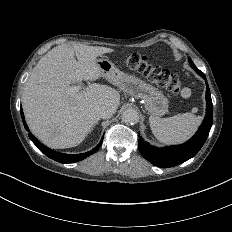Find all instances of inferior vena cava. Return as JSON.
<instances>
[{"label": "inferior vena cava", "instance_id": "obj_1", "mask_svg": "<svg viewBox=\"0 0 232 232\" xmlns=\"http://www.w3.org/2000/svg\"><path fill=\"white\" fill-rule=\"evenodd\" d=\"M96 113L100 118L108 119L112 117L114 111L109 107L100 106L97 108Z\"/></svg>", "mask_w": 232, "mask_h": 232}]
</instances>
